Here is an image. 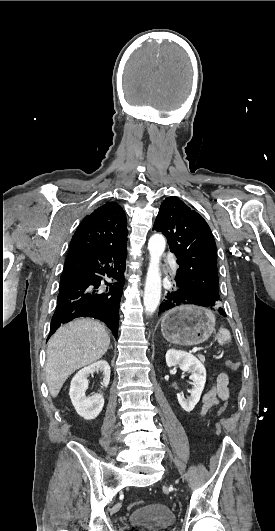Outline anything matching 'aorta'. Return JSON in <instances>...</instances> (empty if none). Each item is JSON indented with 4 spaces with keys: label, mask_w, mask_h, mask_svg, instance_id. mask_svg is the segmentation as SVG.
<instances>
[{
    "label": "aorta",
    "mask_w": 275,
    "mask_h": 531,
    "mask_svg": "<svg viewBox=\"0 0 275 531\" xmlns=\"http://www.w3.org/2000/svg\"><path fill=\"white\" fill-rule=\"evenodd\" d=\"M165 239L162 235H152L148 243L150 263L147 271L143 303L147 315L155 313L161 297L160 259L165 251Z\"/></svg>",
    "instance_id": "aorta-1"
}]
</instances>
